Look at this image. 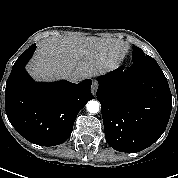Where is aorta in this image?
Segmentation results:
<instances>
[{"instance_id": "aorta-1", "label": "aorta", "mask_w": 178, "mask_h": 178, "mask_svg": "<svg viewBox=\"0 0 178 178\" xmlns=\"http://www.w3.org/2000/svg\"><path fill=\"white\" fill-rule=\"evenodd\" d=\"M99 108H100V104L98 101L91 100L87 103V111L92 114L98 113Z\"/></svg>"}]
</instances>
